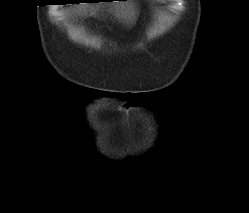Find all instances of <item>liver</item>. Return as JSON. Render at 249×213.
Segmentation results:
<instances>
[{
  "mask_svg": "<svg viewBox=\"0 0 249 213\" xmlns=\"http://www.w3.org/2000/svg\"><path fill=\"white\" fill-rule=\"evenodd\" d=\"M96 8H97V7H96ZM114 8H116L117 13H118V9L120 8V6H119V5H115ZM130 9H131V11H130ZM94 12H95V9L92 8V14H93ZM120 14H121V16H123V17L128 16V18H130L131 15L134 16V11L132 10L131 5H128V4H127L126 10H125V5L122 4V5H121V9H120Z\"/></svg>",
  "mask_w": 249,
  "mask_h": 213,
  "instance_id": "liver-1",
  "label": "liver"
}]
</instances>
